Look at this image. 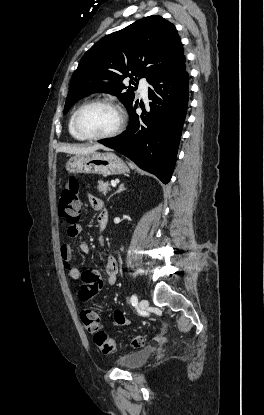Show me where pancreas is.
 <instances>
[{"instance_id":"1","label":"pancreas","mask_w":264,"mask_h":415,"mask_svg":"<svg viewBox=\"0 0 264 415\" xmlns=\"http://www.w3.org/2000/svg\"><path fill=\"white\" fill-rule=\"evenodd\" d=\"M98 190L101 194L106 195L110 191V185L108 182L99 181Z\"/></svg>"}]
</instances>
